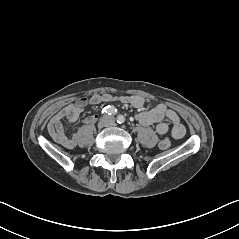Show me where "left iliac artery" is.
<instances>
[{"mask_svg": "<svg viewBox=\"0 0 239 239\" xmlns=\"http://www.w3.org/2000/svg\"><path fill=\"white\" fill-rule=\"evenodd\" d=\"M117 122H118L119 124L124 123V122H125L124 116H123V115H118V117H117Z\"/></svg>", "mask_w": 239, "mask_h": 239, "instance_id": "44dca946", "label": "left iliac artery"}]
</instances>
